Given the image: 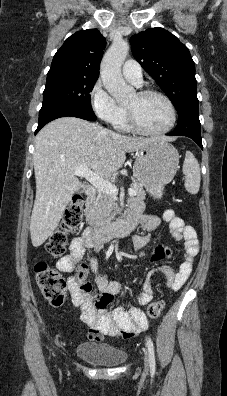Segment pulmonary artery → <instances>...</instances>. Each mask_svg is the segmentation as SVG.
Instances as JSON below:
<instances>
[{
	"label": "pulmonary artery",
	"instance_id": "obj_1",
	"mask_svg": "<svg viewBox=\"0 0 227 396\" xmlns=\"http://www.w3.org/2000/svg\"><path fill=\"white\" fill-rule=\"evenodd\" d=\"M122 74L126 80L139 85L142 82V69L135 60H127L122 68Z\"/></svg>",
	"mask_w": 227,
	"mask_h": 396
}]
</instances>
